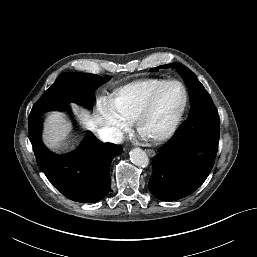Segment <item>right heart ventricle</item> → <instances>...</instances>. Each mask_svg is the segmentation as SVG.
Returning <instances> with one entry per match:
<instances>
[{"label": "right heart ventricle", "mask_w": 257, "mask_h": 257, "mask_svg": "<svg viewBox=\"0 0 257 257\" xmlns=\"http://www.w3.org/2000/svg\"><path fill=\"white\" fill-rule=\"evenodd\" d=\"M164 82L166 80L161 78H145L130 82L116 91L113 101L123 116L133 120L153 91Z\"/></svg>", "instance_id": "1"}]
</instances>
